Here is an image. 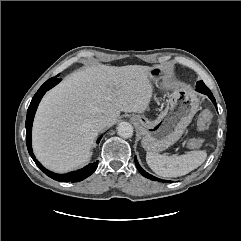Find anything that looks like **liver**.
<instances>
[{"mask_svg": "<svg viewBox=\"0 0 241 241\" xmlns=\"http://www.w3.org/2000/svg\"><path fill=\"white\" fill-rule=\"evenodd\" d=\"M152 67L95 65L75 71L43 97L33 123V150L48 169L64 173L86 164L102 130L120 112L143 113L152 97Z\"/></svg>", "mask_w": 241, "mask_h": 241, "instance_id": "obj_1", "label": "liver"}]
</instances>
